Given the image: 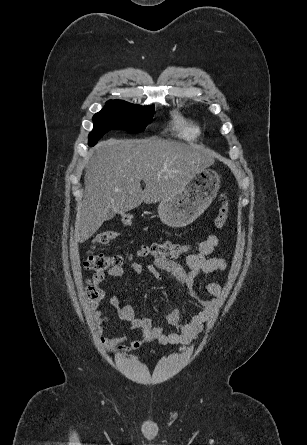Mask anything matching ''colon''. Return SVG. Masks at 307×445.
<instances>
[{
    "label": "colon",
    "mask_w": 307,
    "mask_h": 445,
    "mask_svg": "<svg viewBox=\"0 0 307 445\" xmlns=\"http://www.w3.org/2000/svg\"><path fill=\"white\" fill-rule=\"evenodd\" d=\"M228 217L229 204L226 200H224L221 208L213 220L214 227L217 229L221 228L227 222ZM122 223L125 226H131L133 223V216L130 214L124 215L122 217ZM117 237L118 232L113 230H105L97 234L93 240V244L95 246H104L115 240ZM187 250L188 247L186 245L165 240L141 246L138 250V255L140 257H154L156 259H172L179 257L187 252ZM123 263V257L118 254L109 255L90 251L86 256L83 265L88 270L96 273H102L111 268L121 267ZM86 291L90 300L94 301L98 297V290L93 283L88 284Z\"/></svg>",
    "instance_id": "5ec220e1"
}]
</instances>
